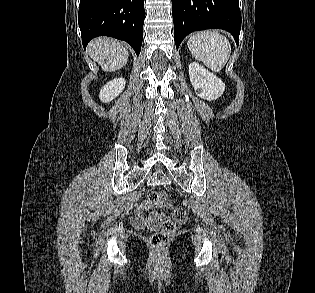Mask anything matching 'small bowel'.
Segmentation results:
<instances>
[{"mask_svg":"<svg viewBox=\"0 0 315 293\" xmlns=\"http://www.w3.org/2000/svg\"><path fill=\"white\" fill-rule=\"evenodd\" d=\"M154 207L157 206L152 204L149 200H144L139 205L132 218L133 224L140 229L149 227L150 230H160L161 228L160 222L166 218L165 213L152 212L147 217L145 216V213Z\"/></svg>","mask_w":315,"mask_h":293,"instance_id":"c3829d8e","label":"small bowel"}]
</instances>
